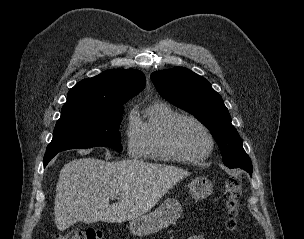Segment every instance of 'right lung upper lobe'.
<instances>
[{"mask_svg":"<svg viewBox=\"0 0 304 239\" xmlns=\"http://www.w3.org/2000/svg\"><path fill=\"white\" fill-rule=\"evenodd\" d=\"M145 83L141 71L107 70L71 88L62 112L120 107L142 91Z\"/></svg>","mask_w":304,"mask_h":239,"instance_id":"cb5924a9","label":"right lung upper lobe"}]
</instances>
